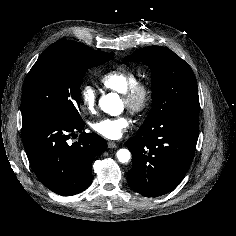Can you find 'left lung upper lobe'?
<instances>
[{
	"label": "left lung upper lobe",
	"instance_id": "1",
	"mask_svg": "<svg viewBox=\"0 0 236 236\" xmlns=\"http://www.w3.org/2000/svg\"><path fill=\"white\" fill-rule=\"evenodd\" d=\"M135 61L148 65L152 76V109L142 127L175 114L199 116L197 82L187 62L159 46L139 49L126 56L122 63Z\"/></svg>",
	"mask_w": 236,
	"mask_h": 236
}]
</instances>
